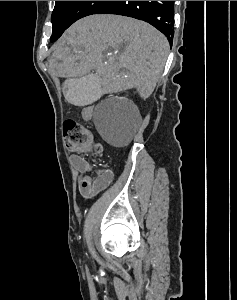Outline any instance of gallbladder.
<instances>
[{"mask_svg":"<svg viewBox=\"0 0 237 300\" xmlns=\"http://www.w3.org/2000/svg\"><path fill=\"white\" fill-rule=\"evenodd\" d=\"M103 77L98 72H89L88 76H70L65 84L64 99L68 105H94L104 94Z\"/></svg>","mask_w":237,"mask_h":300,"instance_id":"1","label":"gallbladder"}]
</instances>
